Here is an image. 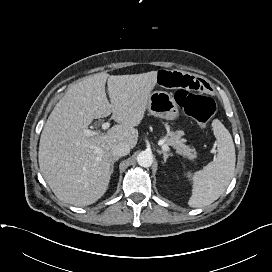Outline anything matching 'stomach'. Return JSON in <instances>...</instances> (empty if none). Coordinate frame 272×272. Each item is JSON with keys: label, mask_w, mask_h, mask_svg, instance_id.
<instances>
[{"label": "stomach", "mask_w": 272, "mask_h": 272, "mask_svg": "<svg viewBox=\"0 0 272 272\" xmlns=\"http://www.w3.org/2000/svg\"><path fill=\"white\" fill-rule=\"evenodd\" d=\"M147 109L151 115L167 120H174L179 116L176 101L173 96L166 91L152 92Z\"/></svg>", "instance_id": "1"}]
</instances>
